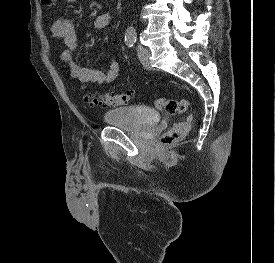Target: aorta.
<instances>
[{
    "instance_id": "762f6f07",
    "label": "aorta",
    "mask_w": 275,
    "mask_h": 263,
    "mask_svg": "<svg viewBox=\"0 0 275 263\" xmlns=\"http://www.w3.org/2000/svg\"><path fill=\"white\" fill-rule=\"evenodd\" d=\"M130 36H134V32L132 30L129 31Z\"/></svg>"
}]
</instances>
